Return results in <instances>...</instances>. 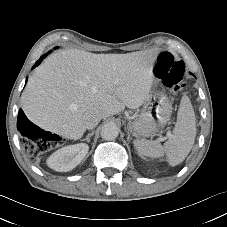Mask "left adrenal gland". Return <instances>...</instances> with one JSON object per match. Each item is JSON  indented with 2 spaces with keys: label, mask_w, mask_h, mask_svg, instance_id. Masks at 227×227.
<instances>
[{
  "label": "left adrenal gland",
  "mask_w": 227,
  "mask_h": 227,
  "mask_svg": "<svg viewBox=\"0 0 227 227\" xmlns=\"http://www.w3.org/2000/svg\"><path fill=\"white\" fill-rule=\"evenodd\" d=\"M129 139H131V137H130V134H129V132H128V140H129Z\"/></svg>",
  "instance_id": "a2214340"
}]
</instances>
